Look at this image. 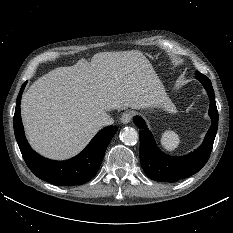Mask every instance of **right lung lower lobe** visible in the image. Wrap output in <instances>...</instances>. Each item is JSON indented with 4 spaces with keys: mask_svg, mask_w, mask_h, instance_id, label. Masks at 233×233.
I'll use <instances>...</instances> for the list:
<instances>
[{
    "mask_svg": "<svg viewBox=\"0 0 233 233\" xmlns=\"http://www.w3.org/2000/svg\"><path fill=\"white\" fill-rule=\"evenodd\" d=\"M26 82L22 85L16 101L14 132L22 156L29 169L40 179L59 186L80 185L88 182L97 173L107 146L117 131L108 126L97 133L88 146L77 156L67 161L46 159L29 146L23 130L20 102Z\"/></svg>",
    "mask_w": 233,
    "mask_h": 233,
    "instance_id": "obj_1",
    "label": "right lung lower lobe"
}]
</instances>
